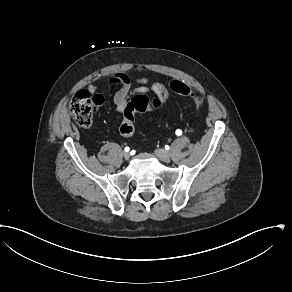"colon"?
Listing matches in <instances>:
<instances>
[{
    "label": "colon",
    "instance_id": "obj_1",
    "mask_svg": "<svg viewBox=\"0 0 292 292\" xmlns=\"http://www.w3.org/2000/svg\"><path fill=\"white\" fill-rule=\"evenodd\" d=\"M168 85L176 93L183 94L184 97L192 96L193 91L183 82L172 78ZM119 100V99H118ZM193 100L196 102V111L203 110V99L201 96L194 95ZM103 99L99 95L91 96L86 90L77 91L71 98L68 112L69 115L81 126L90 127L93 122V116L102 105ZM162 107V101L159 98H149L146 95L139 94L127 104L123 113V120L118 125L120 134L129 136L135 130V115L137 112L158 111Z\"/></svg>",
    "mask_w": 292,
    "mask_h": 292
}]
</instances>
